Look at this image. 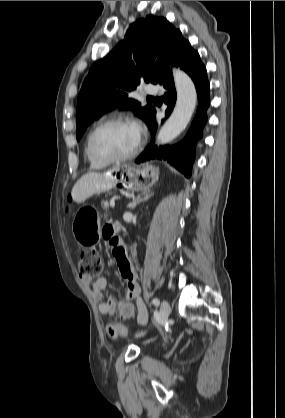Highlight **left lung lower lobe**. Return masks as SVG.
I'll return each instance as SVG.
<instances>
[{
	"instance_id": "1",
	"label": "left lung lower lobe",
	"mask_w": 285,
	"mask_h": 418,
	"mask_svg": "<svg viewBox=\"0 0 285 418\" xmlns=\"http://www.w3.org/2000/svg\"><path fill=\"white\" fill-rule=\"evenodd\" d=\"M170 64L180 66V68L192 78L198 95L196 116L187 136L180 143L174 146L166 145L157 147L154 145V139H152L151 144L136 159V163L153 159H163L184 173L185 176L189 177L195 156V140L201 138L202 128L207 121L206 111L210 103L209 82L207 80L206 68L202 64L198 52L193 50L190 43L184 38L178 41L168 65L163 70L158 80V84L165 89V94L161 98L162 101L168 105L165 111V117H168L171 114L176 102V90L172 72L170 70ZM155 114L156 111L148 124L152 134H155L157 129ZM163 122L164 120L161 121V123Z\"/></svg>"
}]
</instances>
